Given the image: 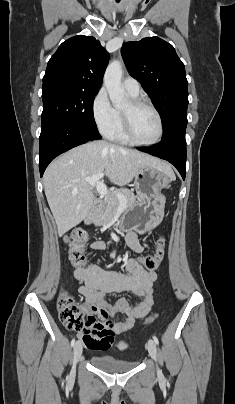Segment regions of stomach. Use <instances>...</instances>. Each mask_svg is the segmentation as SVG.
Returning a JSON list of instances; mask_svg holds the SVG:
<instances>
[{
  "mask_svg": "<svg viewBox=\"0 0 235 404\" xmlns=\"http://www.w3.org/2000/svg\"><path fill=\"white\" fill-rule=\"evenodd\" d=\"M170 176L154 166L142 167L135 176L138 201L128 207L120 220V229L145 234L157 227L164 216L162 189L170 187Z\"/></svg>",
  "mask_w": 235,
  "mask_h": 404,
  "instance_id": "0dacf381",
  "label": "stomach"
}]
</instances>
